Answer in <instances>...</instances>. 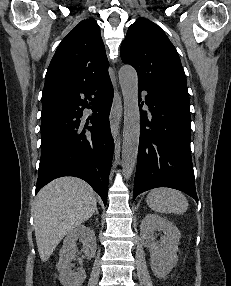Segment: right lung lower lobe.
<instances>
[{
  "mask_svg": "<svg viewBox=\"0 0 231 286\" xmlns=\"http://www.w3.org/2000/svg\"><path fill=\"white\" fill-rule=\"evenodd\" d=\"M92 96H94L92 98ZM87 100L92 101L87 103ZM113 100L110 78L74 94L59 106L63 112L41 121V159L36 193L62 176H75L88 182L107 202L108 178L114 142L109 113ZM84 108H91L92 127L82 129Z\"/></svg>",
  "mask_w": 231,
  "mask_h": 286,
  "instance_id": "right-lung-lower-lobe-1",
  "label": "right lung lower lobe"
}]
</instances>
